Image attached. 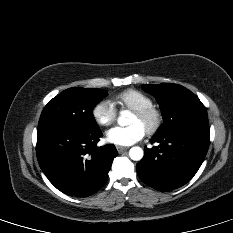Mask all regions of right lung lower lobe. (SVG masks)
<instances>
[{
	"instance_id": "1",
	"label": "right lung lower lobe",
	"mask_w": 233,
	"mask_h": 233,
	"mask_svg": "<svg viewBox=\"0 0 233 233\" xmlns=\"http://www.w3.org/2000/svg\"><path fill=\"white\" fill-rule=\"evenodd\" d=\"M101 136L100 128L64 124L38 127V163L58 190L69 196L87 197L106 183L117 150L112 144L96 146Z\"/></svg>"
}]
</instances>
